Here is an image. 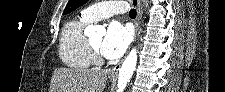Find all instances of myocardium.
Returning a JSON list of instances; mask_svg holds the SVG:
<instances>
[{
  "label": "myocardium",
  "instance_id": "1",
  "mask_svg": "<svg viewBox=\"0 0 225 92\" xmlns=\"http://www.w3.org/2000/svg\"><path fill=\"white\" fill-rule=\"evenodd\" d=\"M89 44V49L93 58V62L96 64H101L103 62L99 50L91 43V41L88 42Z\"/></svg>",
  "mask_w": 225,
  "mask_h": 92
}]
</instances>
